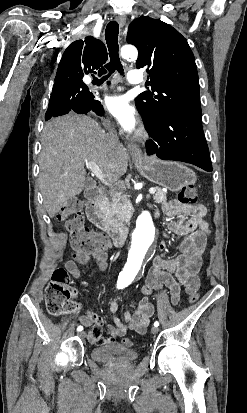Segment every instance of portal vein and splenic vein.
<instances>
[{"label": "portal vein and splenic vein", "instance_id": "1", "mask_svg": "<svg viewBox=\"0 0 247 413\" xmlns=\"http://www.w3.org/2000/svg\"><path fill=\"white\" fill-rule=\"evenodd\" d=\"M86 166L87 168H90V170H92L93 174H95V176H97V178H99L101 182H104V184H109V186H111L110 182H106L105 174H103L100 166H98L96 162H92V160H86ZM149 192L150 194H153V192H156V188H149Z\"/></svg>", "mask_w": 247, "mask_h": 413}]
</instances>
